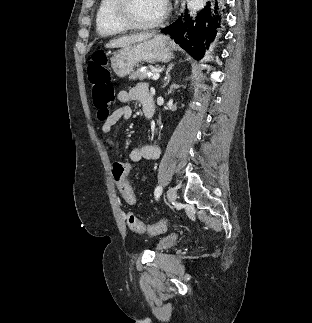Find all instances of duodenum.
<instances>
[{"label":"duodenum","instance_id":"obj_1","mask_svg":"<svg viewBox=\"0 0 312 323\" xmlns=\"http://www.w3.org/2000/svg\"><path fill=\"white\" fill-rule=\"evenodd\" d=\"M155 116V103L150 91L146 92L143 98V117L150 122Z\"/></svg>","mask_w":312,"mask_h":323}]
</instances>
